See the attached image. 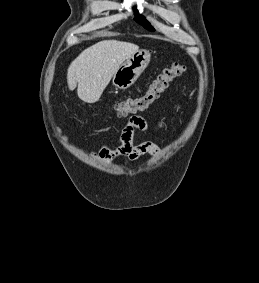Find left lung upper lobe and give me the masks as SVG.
Wrapping results in <instances>:
<instances>
[{"instance_id": "left-lung-upper-lobe-1", "label": "left lung upper lobe", "mask_w": 259, "mask_h": 283, "mask_svg": "<svg viewBox=\"0 0 259 283\" xmlns=\"http://www.w3.org/2000/svg\"><path fill=\"white\" fill-rule=\"evenodd\" d=\"M135 11V20L140 23L141 25H143L146 29L150 30V31H154V28L150 25V23L140 14H138L137 9H134Z\"/></svg>"}]
</instances>
